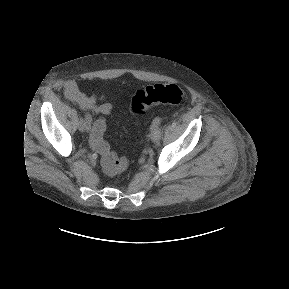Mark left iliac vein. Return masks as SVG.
<instances>
[{"label": "left iliac vein", "instance_id": "4c4485c4", "mask_svg": "<svg viewBox=\"0 0 289 289\" xmlns=\"http://www.w3.org/2000/svg\"><path fill=\"white\" fill-rule=\"evenodd\" d=\"M150 138L153 142H157L161 138V130L159 127L151 128Z\"/></svg>", "mask_w": 289, "mask_h": 289}]
</instances>
